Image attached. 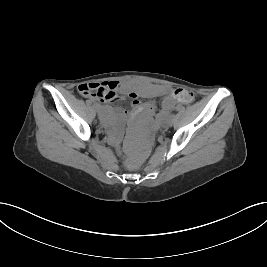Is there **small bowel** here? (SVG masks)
<instances>
[{
	"mask_svg": "<svg viewBox=\"0 0 267 267\" xmlns=\"http://www.w3.org/2000/svg\"><path fill=\"white\" fill-rule=\"evenodd\" d=\"M95 85H100V83H92ZM106 87H113L115 89H121L128 92L132 97V106L135 110L144 111L147 115H151L155 112V105L153 103L142 104L138 99L141 97L153 98L162 97V113L168 112L173 109L176 105V99L174 98V91L165 85L149 84L144 82H130L119 85L117 82H104ZM84 84H81L78 88L79 93ZM92 101L98 103V107L104 105L107 100L98 97H89ZM121 111V109H120Z\"/></svg>",
	"mask_w": 267,
	"mask_h": 267,
	"instance_id": "small-bowel-1",
	"label": "small bowel"
}]
</instances>
